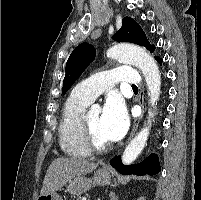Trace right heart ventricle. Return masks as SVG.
<instances>
[{
  "label": "right heart ventricle",
  "mask_w": 201,
  "mask_h": 200,
  "mask_svg": "<svg viewBox=\"0 0 201 200\" xmlns=\"http://www.w3.org/2000/svg\"><path fill=\"white\" fill-rule=\"evenodd\" d=\"M90 102L71 94L66 100L58 126L59 144L62 151L71 157H85L90 152L81 139L80 122Z\"/></svg>",
  "instance_id": "e07e8e85"
}]
</instances>
